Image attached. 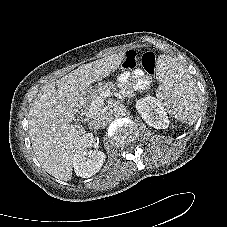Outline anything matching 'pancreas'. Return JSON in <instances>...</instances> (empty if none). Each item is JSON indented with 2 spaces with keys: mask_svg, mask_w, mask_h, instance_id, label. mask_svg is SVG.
<instances>
[{
  "mask_svg": "<svg viewBox=\"0 0 227 227\" xmlns=\"http://www.w3.org/2000/svg\"><path fill=\"white\" fill-rule=\"evenodd\" d=\"M115 90V85L112 82L106 83L103 86H100L98 89H90L89 90V95H88V105L87 109L89 111L91 105L93 102H95L96 98L100 96L103 92L105 91H113ZM102 106L98 107L93 113H97L100 111Z\"/></svg>",
  "mask_w": 227,
  "mask_h": 227,
  "instance_id": "obj_1",
  "label": "pancreas"
}]
</instances>
